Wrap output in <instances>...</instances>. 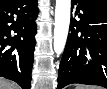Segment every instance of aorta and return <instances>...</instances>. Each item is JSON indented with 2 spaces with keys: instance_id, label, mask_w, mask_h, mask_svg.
Listing matches in <instances>:
<instances>
[{
  "instance_id": "obj_1",
  "label": "aorta",
  "mask_w": 107,
  "mask_h": 89,
  "mask_svg": "<svg viewBox=\"0 0 107 89\" xmlns=\"http://www.w3.org/2000/svg\"><path fill=\"white\" fill-rule=\"evenodd\" d=\"M71 0H56L54 51L60 55L65 47L70 24Z\"/></svg>"
}]
</instances>
